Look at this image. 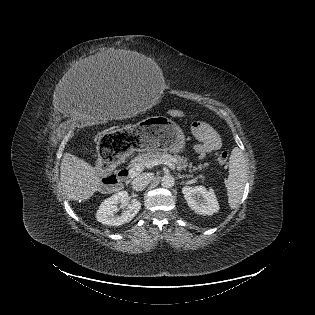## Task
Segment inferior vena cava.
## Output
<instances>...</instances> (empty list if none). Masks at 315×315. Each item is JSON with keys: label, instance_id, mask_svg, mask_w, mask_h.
Listing matches in <instances>:
<instances>
[{"label": "inferior vena cava", "instance_id": "obj_1", "mask_svg": "<svg viewBox=\"0 0 315 315\" xmlns=\"http://www.w3.org/2000/svg\"><path fill=\"white\" fill-rule=\"evenodd\" d=\"M151 180V174L143 173L132 181V188L135 191H141L151 182Z\"/></svg>", "mask_w": 315, "mask_h": 315}]
</instances>
